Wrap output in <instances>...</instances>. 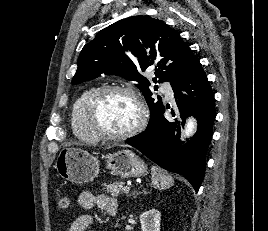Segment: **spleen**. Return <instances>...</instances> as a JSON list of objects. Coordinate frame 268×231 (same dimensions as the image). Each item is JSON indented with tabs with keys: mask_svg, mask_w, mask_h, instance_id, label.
<instances>
[{
	"mask_svg": "<svg viewBox=\"0 0 268 231\" xmlns=\"http://www.w3.org/2000/svg\"><path fill=\"white\" fill-rule=\"evenodd\" d=\"M151 176L152 183L156 188L166 189L174 184L173 178L158 166H152Z\"/></svg>",
	"mask_w": 268,
	"mask_h": 231,
	"instance_id": "obj_1",
	"label": "spleen"
}]
</instances>
